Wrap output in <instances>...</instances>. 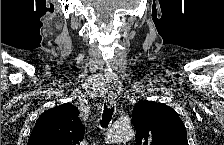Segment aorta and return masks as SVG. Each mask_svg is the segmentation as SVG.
Returning a JSON list of instances; mask_svg holds the SVG:
<instances>
[{
    "label": "aorta",
    "mask_w": 224,
    "mask_h": 145,
    "mask_svg": "<svg viewBox=\"0 0 224 145\" xmlns=\"http://www.w3.org/2000/svg\"><path fill=\"white\" fill-rule=\"evenodd\" d=\"M134 135L132 126L128 123H115L107 131V140L112 143L131 140Z\"/></svg>",
    "instance_id": "aorta-1"
}]
</instances>
